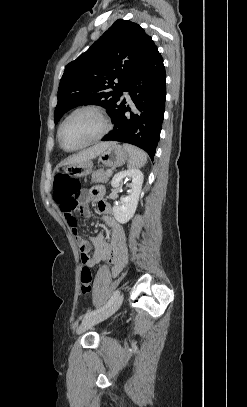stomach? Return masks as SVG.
<instances>
[{"mask_svg":"<svg viewBox=\"0 0 247 407\" xmlns=\"http://www.w3.org/2000/svg\"><path fill=\"white\" fill-rule=\"evenodd\" d=\"M129 157L128 151L117 143H111L99 155L98 160L104 166L118 167L122 166ZM93 162L91 160L68 165L65 172L73 177H84L92 172Z\"/></svg>","mask_w":247,"mask_h":407,"instance_id":"0dacf381","label":"stomach"}]
</instances>
